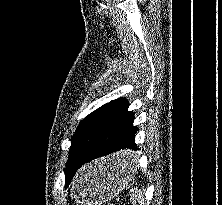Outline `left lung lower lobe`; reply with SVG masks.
<instances>
[{
	"mask_svg": "<svg viewBox=\"0 0 222 205\" xmlns=\"http://www.w3.org/2000/svg\"><path fill=\"white\" fill-rule=\"evenodd\" d=\"M129 103L123 98L113 108L93 143L88 153L71 164V175L65 183L68 187L77 170L84 164L120 151L113 155V162L116 164H131L133 162L130 150H137L135 144V133L137 128L133 126L134 113L128 111Z\"/></svg>",
	"mask_w": 222,
	"mask_h": 205,
	"instance_id": "0a47b994",
	"label": "left lung lower lobe"
}]
</instances>
